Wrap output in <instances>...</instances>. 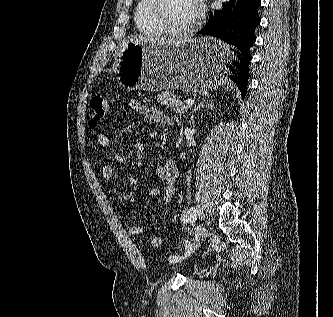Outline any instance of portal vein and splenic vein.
Segmentation results:
<instances>
[{
	"label": "portal vein and splenic vein",
	"mask_w": 333,
	"mask_h": 317,
	"mask_svg": "<svg viewBox=\"0 0 333 317\" xmlns=\"http://www.w3.org/2000/svg\"><path fill=\"white\" fill-rule=\"evenodd\" d=\"M185 104L188 105V106L194 104V99H191V98L186 99V100H185Z\"/></svg>",
	"instance_id": "portal-vein-and-splenic-vein-1"
}]
</instances>
